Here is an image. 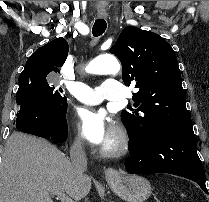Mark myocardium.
I'll return each instance as SVG.
<instances>
[{
    "instance_id": "f54148a6",
    "label": "myocardium",
    "mask_w": 209,
    "mask_h": 202,
    "mask_svg": "<svg viewBox=\"0 0 209 202\" xmlns=\"http://www.w3.org/2000/svg\"><path fill=\"white\" fill-rule=\"evenodd\" d=\"M130 148V138L126 129L122 125L116 126L115 141L110 145H105L100 149V155L107 158L120 157Z\"/></svg>"
}]
</instances>
